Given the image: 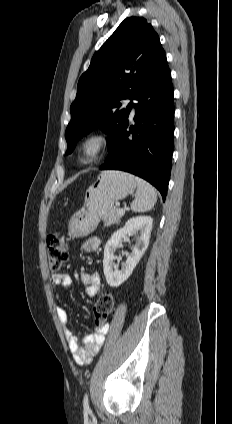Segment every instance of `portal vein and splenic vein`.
<instances>
[{
  "label": "portal vein and splenic vein",
  "mask_w": 232,
  "mask_h": 424,
  "mask_svg": "<svg viewBox=\"0 0 232 424\" xmlns=\"http://www.w3.org/2000/svg\"><path fill=\"white\" fill-rule=\"evenodd\" d=\"M118 214L123 216L125 214V210L124 209H119L118 210Z\"/></svg>",
  "instance_id": "1"
}]
</instances>
